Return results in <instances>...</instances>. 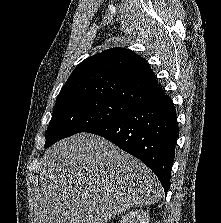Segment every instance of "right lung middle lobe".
<instances>
[{
	"label": "right lung middle lobe",
	"mask_w": 221,
	"mask_h": 223,
	"mask_svg": "<svg viewBox=\"0 0 221 223\" xmlns=\"http://www.w3.org/2000/svg\"><path fill=\"white\" fill-rule=\"evenodd\" d=\"M134 106L103 97H79L56 103L46 132L44 148L60 139L110 121Z\"/></svg>",
	"instance_id": "1"
}]
</instances>
